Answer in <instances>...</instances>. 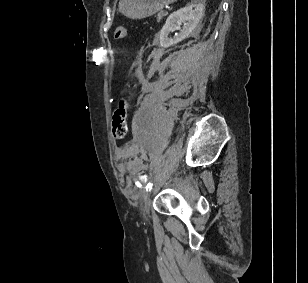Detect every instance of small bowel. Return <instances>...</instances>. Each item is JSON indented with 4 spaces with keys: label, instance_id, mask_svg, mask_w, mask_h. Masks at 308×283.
Wrapping results in <instances>:
<instances>
[{
    "label": "small bowel",
    "instance_id": "c3829d8e",
    "mask_svg": "<svg viewBox=\"0 0 308 283\" xmlns=\"http://www.w3.org/2000/svg\"><path fill=\"white\" fill-rule=\"evenodd\" d=\"M120 168H121V170H124V166L123 165H121Z\"/></svg>",
    "mask_w": 308,
    "mask_h": 283
}]
</instances>
